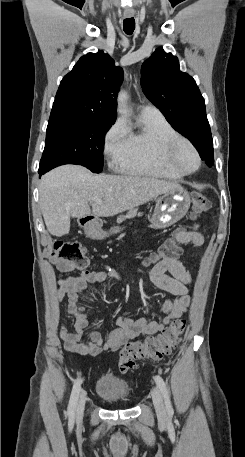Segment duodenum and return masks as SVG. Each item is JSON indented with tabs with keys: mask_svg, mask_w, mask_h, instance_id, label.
<instances>
[{
	"mask_svg": "<svg viewBox=\"0 0 245 457\" xmlns=\"http://www.w3.org/2000/svg\"><path fill=\"white\" fill-rule=\"evenodd\" d=\"M90 223H91V219L90 218L85 219V224H90Z\"/></svg>",
	"mask_w": 245,
	"mask_h": 457,
	"instance_id": "obj_1",
	"label": "duodenum"
}]
</instances>
